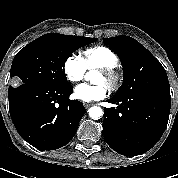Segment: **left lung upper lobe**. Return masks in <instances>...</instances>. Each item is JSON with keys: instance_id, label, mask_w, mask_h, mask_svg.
<instances>
[{"instance_id": "obj_1", "label": "left lung upper lobe", "mask_w": 178, "mask_h": 178, "mask_svg": "<svg viewBox=\"0 0 178 178\" xmlns=\"http://www.w3.org/2000/svg\"><path fill=\"white\" fill-rule=\"evenodd\" d=\"M119 55L123 65V83L113 96L121 98L148 93L171 100L167 73L161 63L138 41L129 36L104 38Z\"/></svg>"}]
</instances>
